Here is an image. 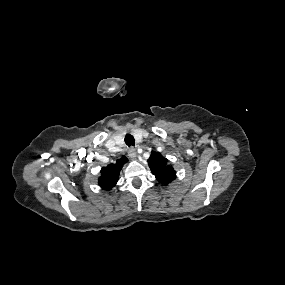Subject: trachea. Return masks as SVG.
<instances>
[{"mask_svg": "<svg viewBox=\"0 0 285 285\" xmlns=\"http://www.w3.org/2000/svg\"><path fill=\"white\" fill-rule=\"evenodd\" d=\"M124 140H125L126 145L128 146H134L135 144V139L131 134H127Z\"/></svg>", "mask_w": 285, "mask_h": 285, "instance_id": "obj_1", "label": "trachea"}]
</instances>
